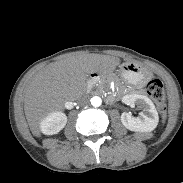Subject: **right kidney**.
I'll return each instance as SVG.
<instances>
[{
    "label": "right kidney",
    "mask_w": 183,
    "mask_h": 183,
    "mask_svg": "<svg viewBox=\"0 0 183 183\" xmlns=\"http://www.w3.org/2000/svg\"><path fill=\"white\" fill-rule=\"evenodd\" d=\"M67 123V117L63 112L54 111L43 118L40 129L43 134L53 135L62 130Z\"/></svg>",
    "instance_id": "1"
}]
</instances>
